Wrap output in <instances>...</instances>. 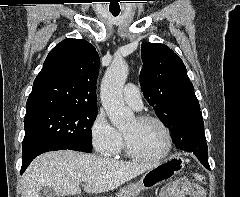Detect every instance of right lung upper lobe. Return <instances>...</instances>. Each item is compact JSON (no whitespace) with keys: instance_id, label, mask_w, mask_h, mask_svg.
Wrapping results in <instances>:
<instances>
[{"instance_id":"right-lung-upper-lobe-1","label":"right lung upper lobe","mask_w":240,"mask_h":197,"mask_svg":"<svg viewBox=\"0 0 240 197\" xmlns=\"http://www.w3.org/2000/svg\"><path fill=\"white\" fill-rule=\"evenodd\" d=\"M100 58L83 39L67 38L48 54L37 75L26 111L45 107L97 108Z\"/></svg>"}]
</instances>
